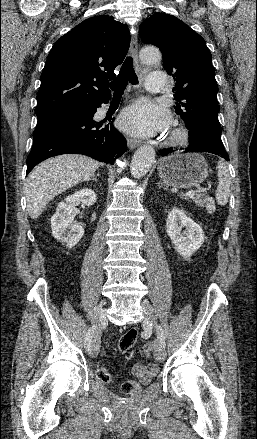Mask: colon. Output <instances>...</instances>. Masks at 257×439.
<instances>
[{"label":"colon","instance_id":"1","mask_svg":"<svg viewBox=\"0 0 257 439\" xmlns=\"http://www.w3.org/2000/svg\"><path fill=\"white\" fill-rule=\"evenodd\" d=\"M137 336L138 332L135 328H130L125 331L118 343V349L120 353L125 354L126 352H128L134 346L137 340ZM143 351L146 356H153L155 351L153 343L145 344L143 347ZM93 369L97 378L103 383L109 384L113 381V376L107 370L96 365L93 366ZM138 389L139 384L136 381L129 380L122 385V390L125 393H133L136 392Z\"/></svg>","mask_w":257,"mask_h":439}]
</instances>
